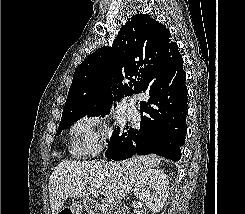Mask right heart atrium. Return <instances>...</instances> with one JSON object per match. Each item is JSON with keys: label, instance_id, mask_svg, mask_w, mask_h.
<instances>
[{"label": "right heart atrium", "instance_id": "1", "mask_svg": "<svg viewBox=\"0 0 245 214\" xmlns=\"http://www.w3.org/2000/svg\"><path fill=\"white\" fill-rule=\"evenodd\" d=\"M70 136L71 151L76 156L95 155L108 142L105 121L93 113L80 116L71 126Z\"/></svg>", "mask_w": 245, "mask_h": 214}]
</instances>
